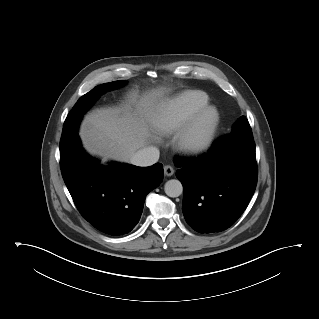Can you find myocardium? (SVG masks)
Instances as JSON below:
<instances>
[{
  "label": "myocardium",
  "mask_w": 319,
  "mask_h": 319,
  "mask_svg": "<svg viewBox=\"0 0 319 319\" xmlns=\"http://www.w3.org/2000/svg\"><path fill=\"white\" fill-rule=\"evenodd\" d=\"M208 113H213V120L206 126L203 120ZM221 124L220 111L214 105H205L200 108L177 133L174 138V146L184 156L193 157L207 152L212 146Z\"/></svg>",
  "instance_id": "f54148a6"
}]
</instances>
